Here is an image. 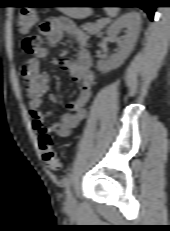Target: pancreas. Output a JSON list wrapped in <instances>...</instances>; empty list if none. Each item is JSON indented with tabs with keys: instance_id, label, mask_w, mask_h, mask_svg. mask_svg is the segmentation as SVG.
I'll return each instance as SVG.
<instances>
[{
	"instance_id": "1",
	"label": "pancreas",
	"mask_w": 170,
	"mask_h": 231,
	"mask_svg": "<svg viewBox=\"0 0 170 231\" xmlns=\"http://www.w3.org/2000/svg\"><path fill=\"white\" fill-rule=\"evenodd\" d=\"M108 22L106 20H98L96 23H87L83 29L90 35L97 34Z\"/></svg>"
}]
</instances>
